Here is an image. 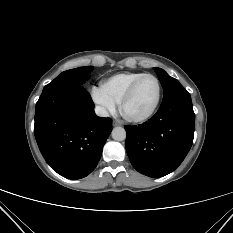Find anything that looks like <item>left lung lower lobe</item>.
Returning a JSON list of instances; mask_svg holds the SVG:
<instances>
[{"mask_svg":"<svg viewBox=\"0 0 233 233\" xmlns=\"http://www.w3.org/2000/svg\"><path fill=\"white\" fill-rule=\"evenodd\" d=\"M194 125L195 114L189 94L162 101L148 122L124 127L131 164L138 172L153 178L171 173L192 146Z\"/></svg>","mask_w":233,"mask_h":233,"instance_id":"1","label":"left lung lower lobe"}]
</instances>
